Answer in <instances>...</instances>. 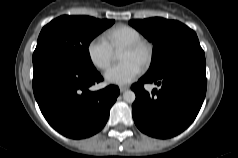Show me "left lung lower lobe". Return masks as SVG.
<instances>
[{"mask_svg": "<svg viewBox=\"0 0 238 158\" xmlns=\"http://www.w3.org/2000/svg\"><path fill=\"white\" fill-rule=\"evenodd\" d=\"M145 83H155L160 90L149 94ZM207 88L205 56L177 61L158 74L143 76L131 86L136 94L132 114L143 133L156 138H170L184 131L196 118Z\"/></svg>", "mask_w": 238, "mask_h": 158, "instance_id": "0a47b994", "label": "left lung lower lobe"}]
</instances>
